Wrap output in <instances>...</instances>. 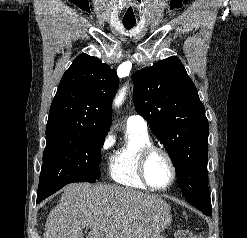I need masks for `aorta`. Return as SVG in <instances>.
Masks as SVG:
<instances>
[{
	"mask_svg": "<svg viewBox=\"0 0 247 238\" xmlns=\"http://www.w3.org/2000/svg\"><path fill=\"white\" fill-rule=\"evenodd\" d=\"M124 96H125V89L121 90V92L116 96L114 100V105L119 106L122 103Z\"/></svg>",
	"mask_w": 247,
	"mask_h": 238,
	"instance_id": "1",
	"label": "aorta"
}]
</instances>
